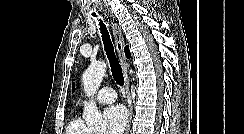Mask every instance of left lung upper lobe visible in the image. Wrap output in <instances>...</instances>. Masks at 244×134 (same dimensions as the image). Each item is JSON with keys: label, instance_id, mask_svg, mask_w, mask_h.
Here are the masks:
<instances>
[{"label": "left lung upper lobe", "instance_id": "left-lung-upper-lobe-1", "mask_svg": "<svg viewBox=\"0 0 244 134\" xmlns=\"http://www.w3.org/2000/svg\"><path fill=\"white\" fill-rule=\"evenodd\" d=\"M73 92H74V84H73Z\"/></svg>", "mask_w": 244, "mask_h": 134}]
</instances>
